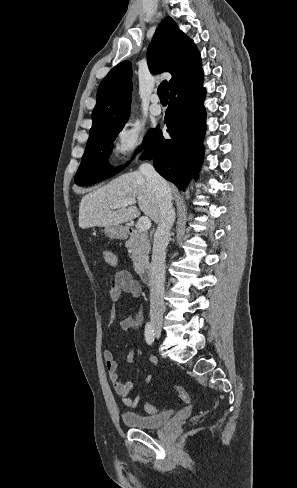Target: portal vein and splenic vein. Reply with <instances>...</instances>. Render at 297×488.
<instances>
[{"label":"portal vein and splenic vein","instance_id":"1","mask_svg":"<svg viewBox=\"0 0 297 488\" xmlns=\"http://www.w3.org/2000/svg\"><path fill=\"white\" fill-rule=\"evenodd\" d=\"M136 203L135 198H126L116 204L110 206L111 209H117L120 207H126ZM151 227V220L147 216L139 218L137 223V228L139 231L146 232Z\"/></svg>","mask_w":297,"mask_h":488}]
</instances>
